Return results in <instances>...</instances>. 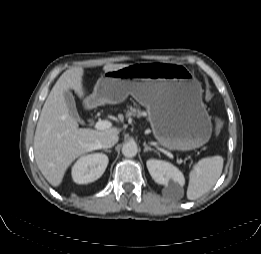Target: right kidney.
I'll use <instances>...</instances> for the list:
<instances>
[{
  "label": "right kidney",
  "mask_w": 261,
  "mask_h": 254,
  "mask_svg": "<svg viewBox=\"0 0 261 254\" xmlns=\"http://www.w3.org/2000/svg\"><path fill=\"white\" fill-rule=\"evenodd\" d=\"M109 159L102 153L80 157L72 167V178L77 184H88L100 178L106 170Z\"/></svg>",
  "instance_id": "ca27d5eb"
}]
</instances>
